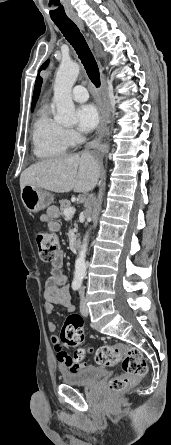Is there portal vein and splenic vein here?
<instances>
[{
	"mask_svg": "<svg viewBox=\"0 0 171 445\" xmlns=\"http://www.w3.org/2000/svg\"><path fill=\"white\" fill-rule=\"evenodd\" d=\"M74 213H75L74 207H69L63 211V214L65 217H72L74 215Z\"/></svg>",
	"mask_w": 171,
	"mask_h": 445,
	"instance_id": "obj_1",
	"label": "portal vein and splenic vein"
}]
</instances>
